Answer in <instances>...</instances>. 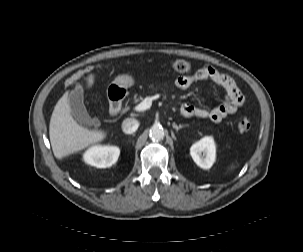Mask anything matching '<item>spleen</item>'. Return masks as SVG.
Returning <instances> with one entry per match:
<instances>
[{
  "label": "spleen",
  "mask_w": 303,
  "mask_h": 252,
  "mask_svg": "<svg viewBox=\"0 0 303 252\" xmlns=\"http://www.w3.org/2000/svg\"><path fill=\"white\" fill-rule=\"evenodd\" d=\"M234 167H235V166L232 164V165L228 168V170H232Z\"/></svg>",
  "instance_id": "obj_1"
}]
</instances>
